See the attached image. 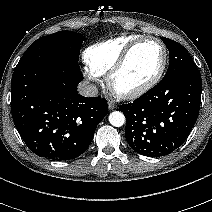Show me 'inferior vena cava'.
<instances>
[{
  "instance_id": "obj_1",
  "label": "inferior vena cava",
  "mask_w": 212,
  "mask_h": 212,
  "mask_svg": "<svg viewBox=\"0 0 212 212\" xmlns=\"http://www.w3.org/2000/svg\"><path fill=\"white\" fill-rule=\"evenodd\" d=\"M78 92L85 97H94L98 94V89L94 84L83 81L78 85Z\"/></svg>"
}]
</instances>
